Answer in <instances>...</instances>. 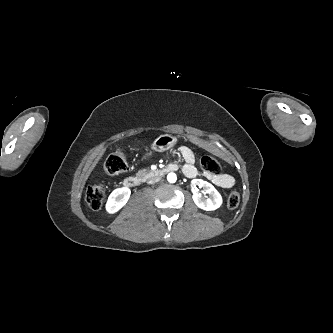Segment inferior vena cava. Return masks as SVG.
<instances>
[{"label": "inferior vena cava", "mask_w": 333, "mask_h": 333, "mask_svg": "<svg viewBox=\"0 0 333 333\" xmlns=\"http://www.w3.org/2000/svg\"><path fill=\"white\" fill-rule=\"evenodd\" d=\"M160 179H161V177L160 176H157V177H153V178H151L150 180H148V184H154V183H156V182H158V181H160Z\"/></svg>", "instance_id": "1"}]
</instances>
